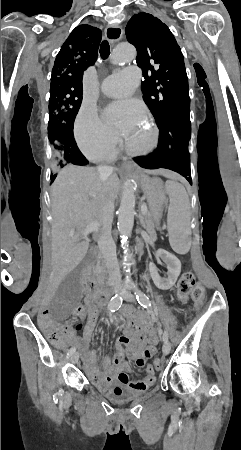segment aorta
<instances>
[{"instance_id": "aorta-1", "label": "aorta", "mask_w": 241, "mask_h": 450, "mask_svg": "<svg viewBox=\"0 0 241 450\" xmlns=\"http://www.w3.org/2000/svg\"><path fill=\"white\" fill-rule=\"evenodd\" d=\"M136 57L135 48L127 43L119 44L113 51L111 61L113 64H125ZM135 186L131 180L124 183L120 208L118 212V230L121 237V247H128V237H130L134 225L135 216Z\"/></svg>"}]
</instances>
